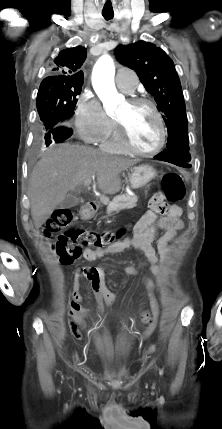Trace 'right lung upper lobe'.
<instances>
[{
    "label": "right lung upper lobe",
    "instance_id": "obj_1",
    "mask_svg": "<svg viewBox=\"0 0 222 429\" xmlns=\"http://www.w3.org/2000/svg\"><path fill=\"white\" fill-rule=\"evenodd\" d=\"M86 54V49L81 46L62 50L54 60V75L45 78L42 83H83L84 73L80 67Z\"/></svg>",
    "mask_w": 222,
    "mask_h": 429
}]
</instances>
